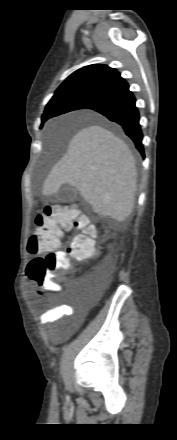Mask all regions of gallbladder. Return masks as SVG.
Here are the masks:
<instances>
[{
    "label": "gallbladder",
    "mask_w": 177,
    "mask_h": 440,
    "mask_svg": "<svg viewBox=\"0 0 177 440\" xmlns=\"http://www.w3.org/2000/svg\"><path fill=\"white\" fill-rule=\"evenodd\" d=\"M78 197L76 189L71 187H62L56 194L52 196L53 202H71Z\"/></svg>",
    "instance_id": "bac80fb5"
}]
</instances>
